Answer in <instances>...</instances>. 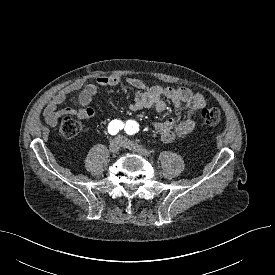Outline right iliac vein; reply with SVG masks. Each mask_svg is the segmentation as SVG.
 <instances>
[{
    "instance_id": "obj_1",
    "label": "right iliac vein",
    "mask_w": 275,
    "mask_h": 275,
    "mask_svg": "<svg viewBox=\"0 0 275 275\" xmlns=\"http://www.w3.org/2000/svg\"><path fill=\"white\" fill-rule=\"evenodd\" d=\"M121 146H122L121 139L115 138L110 142L109 150L112 153H117L120 150Z\"/></svg>"
}]
</instances>
